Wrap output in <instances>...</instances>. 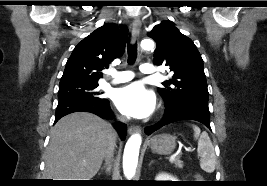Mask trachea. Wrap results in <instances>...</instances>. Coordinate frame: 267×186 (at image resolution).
<instances>
[{"label": "trachea", "instance_id": "trachea-1", "mask_svg": "<svg viewBox=\"0 0 267 186\" xmlns=\"http://www.w3.org/2000/svg\"><path fill=\"white\" fill-rule=\"evenodd\" d=\"M127 53H128V63L133 64L137 57V43H135L134 45L128 43Z\"/></svg>", "mask_w": 267, "mask_h": 186}]
</instances>
